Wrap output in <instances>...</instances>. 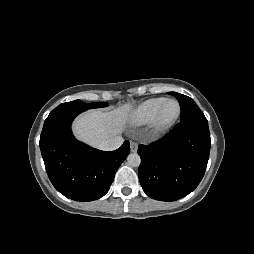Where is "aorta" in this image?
Returning <instances> with one entry per match:
<instances>
[{
	"label": "aorta",
	"instance_id": "aorta-1",
	"mask_svg": "<svg viewBox=\"0 0 254 254\" xmlns=\"http://www.w3.org/2000/svg\"><path fill=\"white\" fill-rule=\"evenodd\" d=\"M127 162L132 167H138L141 163V158L137 153H132L128 155Z\"/></svg>",
	"mask_w": 254,
	"mask_h": 254
}]
</instances>
